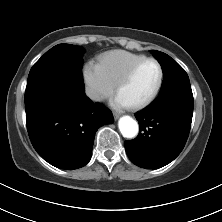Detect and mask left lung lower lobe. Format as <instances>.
Returning a JSON list of instances; mask_svg holds the SVG:
<instances>
[{"label":"left lung lower lobe","mask_w":222,"mask_h":222,"mask_svg":"<svg viewBox=\"0 0 222 222\" xmlns=\"http://www.w3.org/2000/svg\"><path fill=\"white\" fill-rule=\"evenodd\" d=\"M193 105L191 90L176 89L160 94L135 114L140 133L124 143L130 161L145 169L160 168L173 161L187 141Z\"/></svg>","instance_id":"1"}]
</instances>
